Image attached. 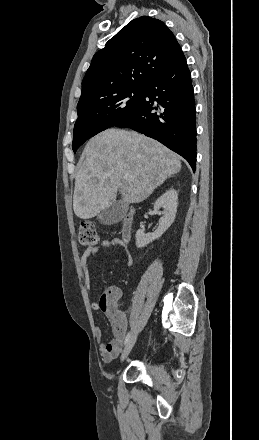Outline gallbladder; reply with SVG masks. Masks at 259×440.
I'll use <instances>...</instances> for the list:
<instances>
[{"instance_id":"obj_1","label":"gallbladder","mask_w":259,"mask_h":440,"mask_svg":"<svg viewBox=\"0 0 259 440\" xmlns=\"http://www.w3.org/2000/svg\"><path fill=\"white\" fill-rule=\"evenodd\" d=\"M125 213L126 204L122 200H119L98 214L97 219L101 224L113 225L121 221Z\"/></svg>"}]
</instances>
